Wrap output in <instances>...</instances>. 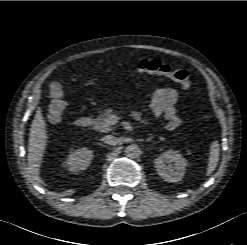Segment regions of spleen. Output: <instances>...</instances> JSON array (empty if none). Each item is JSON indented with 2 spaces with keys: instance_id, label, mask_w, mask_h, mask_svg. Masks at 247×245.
I'll return each instance as SVG.
<instances>
[{
  "instance_id": "spleen-1",
  "label": "spleen",
  "mask_w": 247,
  "mask_h": 245,
  "mask_svg": "<svg viewBox=\"0 0 247 245\" xmlns=\"http://www.w3.org/2000/svg\"><path fill=\"white\" fill-rule=\"evenodd\" d=\"M220 146L218 141H214L210 145L209 158L207 164L206 176H210L218 165Z\"/></svg>"
}]
</instances>
